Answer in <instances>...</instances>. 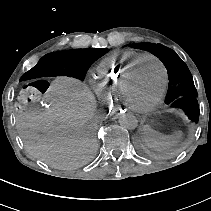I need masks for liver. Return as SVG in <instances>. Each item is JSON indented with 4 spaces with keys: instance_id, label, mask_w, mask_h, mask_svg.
Instances as JSON below:
<instances>
[{
    "instance_id": "obj_1",
    "label": "liver",
    "mask_w": 211,
    "mask_h": 211,
    "mask_svg": "<svg viewBox=\"0 0 211 211\" xmlns=\"http://www.w3.org/2000/svg\"><path fill=\"white\" fill-rule=\"evenodd\" d=\"M48 108L17 116L18 133L27 150L57 169L79 168L98 149L95 103L77 80L58 78L48 90Z\"/></svg>"
}]
</instances>
